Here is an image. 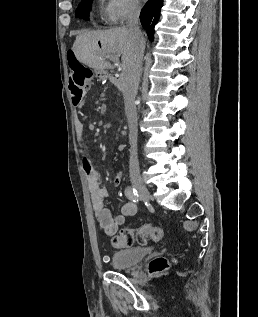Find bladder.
Segmentation results:
<instances>
[{
	"label": "bladder",
	"instance_id": "1",
	"mask_svg": "<svg viewBox=\"0 0 258 317\" xmlns=\"http://www.w3.org/2000/svg\"><path fill=\"white\" fill-rule=\"evenodd\" d=\"M151 252V247H132L119 250L112 254L111 263L116 269L131 268L140 263Z\"/></svg>",
	"mask_w": 258,
	"mask_h": 317
}]
</instances>
